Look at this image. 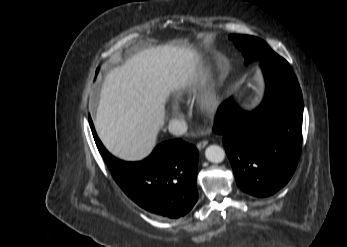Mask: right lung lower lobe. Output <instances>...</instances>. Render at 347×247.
I'll use <instances>...</instances> for the list:
<instances>
[{"label":"right lung lower lobe","instance_id":"right-lung-lower-lobe-1","mask_svg":"<svg viewBox=\"0 0 347 247\" xmlns=\"http://www.w3.org/2000/svg\"><path fill=\"white\" fill-rule=\"evenodd\" d=\"M89 123L97 148L115 182L139 206L160 216L178 218L195 205L198 151L180 139L156 146L140 162H125L112 156Z\"/></svg>","mask_w":347,"mask_h":247}]
</instances>
